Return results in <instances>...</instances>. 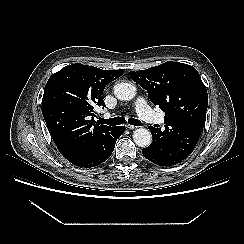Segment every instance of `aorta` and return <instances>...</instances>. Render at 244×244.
I'll return each mask as SVG.
<instances>
[{
  "label": "aorta",
  "mask_w": 244,
  "mask_h": 244,
  "mask_svg": "<svg viewBox=\"0 0 244 244\" xmlns=\"http://www.w3.org/2000/svg\"><path fill=\"white\" fill-rule=\"evenodd\" d=\"M114 94L119 100H131L136 95V87L130 83H119L114 86ZM133 140L139 147H148L152 142L151 132L145 128H138L133 133Z\"/></svg>",
  "instance_id": "obj_1"
}]
</instances>
